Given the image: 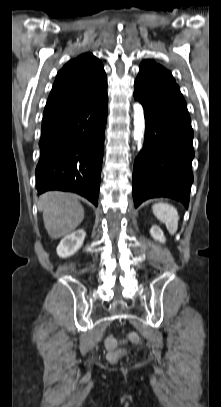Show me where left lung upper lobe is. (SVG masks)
Here are the masks:
<instances>
[{"mask_svg":"<svg viewBox=\"0 0 221 407\" xmlns=\"http://www.w3.org/2000/svg\"><path fill=\"white\" fill-rule=\"evenodd\" d=\"M136 80L155 85L167 83L176 84L171 73L153 60H145L140 64L139 74Z\"/></svg>","mask_w":221,"mask_h":407,"instance_id":"obj_1","label":"left lung upper lobe"}]
</instances>
